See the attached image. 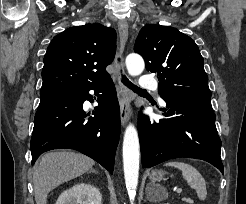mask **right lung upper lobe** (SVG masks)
Instances as JSON below:
<instances>
[{"instance_id":"obj_1","label":"right lung upper lobe","mask_w":246,"mask_h":204,"mask_svg":"<svg viewBox=\"0 0 246 204\" xmlns=\"http://www.w3.org/2000/svg\"><path fill=\"white\" fill-rule=\"evenodd\" d=\"M116 32L101 24L70 27L55 36L44 57L40 93L110 80L105 70L115 56Z\"/></svg>"}]
</instances>
